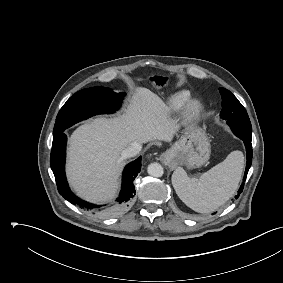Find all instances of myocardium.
Returning <instances> with one entry per match:
<instances>
[{"mask_svg":"<svg viewBox=\"0 0 283 283\" xmlns=\"http://www.w3.org/2000/svg\"><path fill=\"white\" fill-rule=\"evenodd\" d=\"M203 112V104L198 99H190L183 108V116L187 121L198 120Z\"/></svg>","mask_w":283,"mask_h":283,"instance_id":"f54148a6","label":"myocardium"}]
</instances>
